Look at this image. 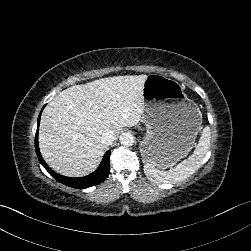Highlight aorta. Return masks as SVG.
Segmentation results:
<instances>
[{"label": "aorta", "mask_w": 251, "mask_h": 251, "mask_svg": "<svg viewBox=\"0 0 251 251\" xmlns=\"http://www.w3.org/2000/svg\"><path fill=\"white\" fill-rule=\"evenodd\" d=\"M134 140H135V137L130 132L122 133L120 138H119V141H120L121 145H123L125 147L132 146L133 143H134Z\"/></svg>", "instance_id": "1"}]
</instances>
